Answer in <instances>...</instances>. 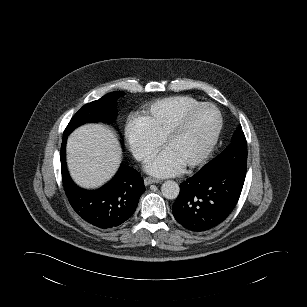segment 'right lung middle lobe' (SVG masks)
<instances>
[{
    "mask_svg": "<svg viewBox=\"0 0 307 307\" xmlns=\"http://www.w3.org/2000/svg\"><path fill=\"white\" fill-rule=\"evenodd\" d=\"M122 95H124L122 91L111 92L97 101L84 105L72 117L63 135L68 136L76 127L84 123L113 120L116 116V100Z\"/></svg>",
    "mask_w": 307,
    "mask_h": 307,
    "instance_id": "dd1d6c3e",
    "label": "right lung middle lobe"
}]
</instances>
